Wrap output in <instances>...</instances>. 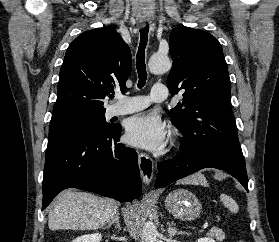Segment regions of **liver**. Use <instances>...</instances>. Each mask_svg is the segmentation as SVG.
I'll list each match as a JSON object with an SVG mask.
<instances>
[{
  "instance_id": "1",
  "label": "liver",
  "mask_w": 279,
  "mask_h": 242,
  "mask_svg": "<svg viewBox=\"0 0 279 242\" xmlns=\"http://www.w3.org/2000/svg\"><path fill=\"white\" fill-rule=\"evenodd\" d=\"M181 182L207 186V181L201 174L187 177ZM118 208L119 204L114 199L65 190L54 200L48 215V226L52 231L98 229L114 218Z\"/></svg>"
}]
</instances>
